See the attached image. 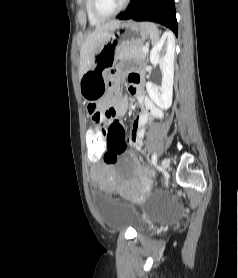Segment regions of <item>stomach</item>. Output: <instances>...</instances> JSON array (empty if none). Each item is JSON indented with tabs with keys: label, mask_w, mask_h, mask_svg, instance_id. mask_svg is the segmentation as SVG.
Wrapping results in <instances>:
<instances>
[{
	"label": "stomach",
	"mask_w": 238,
	"mask_h": 278,
	"mask_svg": "<svg viewBox=\"0 0 238 278\" xmlns=\"http://www.w3.org/2000/svg\"><path fill=\"white\" fill-rule=\"evenodd\" d=\"M150 35L144 23L126 21L110 33L108 42L94 55V63L80 78L82 97L89 102L97 101L108 87V72L117 61L118 51L126 45L143 44Z\"/></svg>",
	"instance_id": "stomach-1"
}]
</instances>
